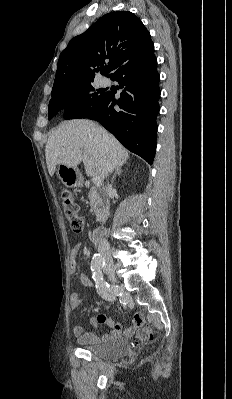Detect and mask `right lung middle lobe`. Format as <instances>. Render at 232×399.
Segmentation results:
<instances>
[{
  "label": "right lung middle lobe",
  "instance_id": "dd1d6c3e",
  "mask_svg": "<svg viewBox=\"0 0 232 399\" xmlns=\"http://www.w3.org/2000/svg\"><path fill=\"white\" fill-rule=\"evenodd\" d=\"M90 83L81 84L66 93L51 95L48 118H53L58 111L64 108V117L66 119L74 118L81 112L96 109L106 96V92L102 89H98L95 92Z\"/></svg>",
  "mask_w": 232,
  "mask_h": 399
}]
</instances>
